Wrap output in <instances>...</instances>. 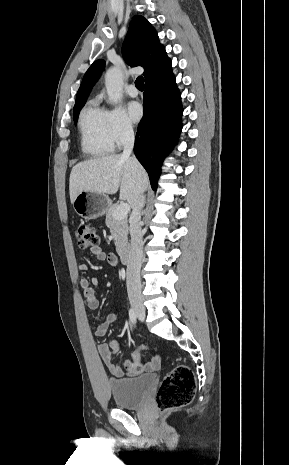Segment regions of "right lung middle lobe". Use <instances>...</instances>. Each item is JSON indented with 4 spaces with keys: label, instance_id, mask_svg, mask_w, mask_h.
<instances>
[{
    "label": "right lung middle lobe",
    "instance_id": "right-lung-middle-lobe-1",
    "mask_svg": "<svg viewBox=\"0 0 289 465\" xmlns=\"http://www.w3.org/2000/svg\"><path fill=\"white\" fill-rule=\"evenodd\" d=\"M86 100H83V101H79V102H76L75 103V106L73 108V116H74V121L76 122L77 120V117L79 115V111L81 110V108L84 106Z\"/></svg>",
    "mask_w": 289,
    "mask_h": 465
}]
</instances>
